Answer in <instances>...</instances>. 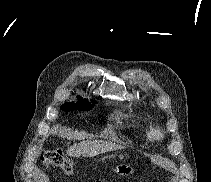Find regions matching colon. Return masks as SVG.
I'll return each mask as SVG.
<instances>
[{
  "mask_svg": "<svg viewBox=\"0 0 211 182\" xmlns=\"http://www.w3.org/2000/svg\"><path fill=\"white\" fill-rule=\"evenodd\" d=\"M40 156L46 165L58 166L65 173L70 175L75 173V165L73 161L65 157L64 154L59 150H43ZM117 171L121 175H127V173H131V169L126 167H118Z\"/></svg>",
  "mask_w": 211,
  "mask_h": 182,
  "instance_id": "obj_1",
  "label": "colon"
}]
</instances>
